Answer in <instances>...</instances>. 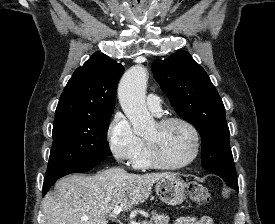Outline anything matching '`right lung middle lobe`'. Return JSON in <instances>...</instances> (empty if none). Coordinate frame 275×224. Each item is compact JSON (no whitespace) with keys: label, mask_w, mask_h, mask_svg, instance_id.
<instances>
[{"label":"right lung middle lobe","mask_w":275,"mask_h":224,"mask_svg":"<svg viewBox=\"0 0 275 224\" xmlns=\"http://www.w3.org/2000/svg\"><path fill=\"white\" fill-rule=\"evenodd\" d=\"M110 118L111 114L55 119L46 175L110 156L107 142Z\"/></svg>","instance_id":"obj_1"}]
</instances>
